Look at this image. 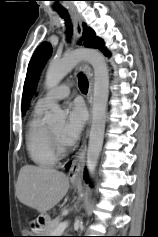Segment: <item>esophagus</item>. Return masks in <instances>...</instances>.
<instances>
[{
    "label": "esophagus",
    "mask_w": 158,
    "mask_h": 237,
    "mask_svg": "<svg viewBox=\"0 0 158 237\" xmlns=\"http://www.w3.org/2000/svg\"><path fill=\"white\" fill-rule=\"evenodd\" d=\"M70 11H71V14H72V17L74 20L76 39L79 40L83 35L82 19L76 13L74 8H71ZM85 70L87 72L88 80H89L87 104H88V108H89L90 119L88 122V126L86 129L82 144H81L79 150L76 152L74 159L71 162V166H70V169L68 172V176L71 181L80 179L81 174H82L84 158H85V153H86V148H87V138H88V134H89V127H90L91 117H92V98H93V89H94V77H93V72L88 65H85Z\"/></svg>",
    "instance_id": "obj_1"
}]
</instances>
